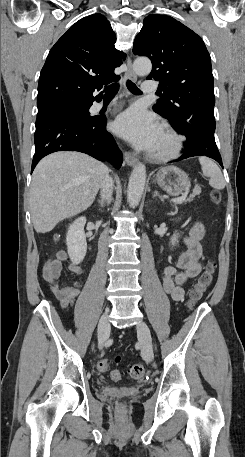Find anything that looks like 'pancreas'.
Returning a JSON list of instances; mask_svg holds the SVG:
<instances>
[{
  "mask_svg": "<svg viewBox=\"0 0 245 457\" xmlns=\"http://www.w3.org/2000/svg\"><path fill=\"white\" fill-rule=\"evenodd\" d=\"M200 192H202L201 186H194L193 192H192V194H190V196H189V198H187V200H193L194 196H196V194H200ZM184 202H186V200H184Z\"/></svg>",
  "mask_w": 245,
  "mask_h": 457,
  "instance_id": "obj_1",
  "label": "pancreas"
}]
</instances>
